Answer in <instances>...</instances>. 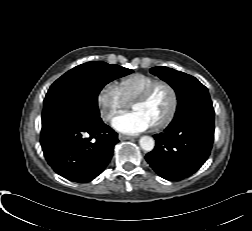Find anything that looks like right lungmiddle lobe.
I'll list each match as a JSON object with an SVG mask.
<instances>
[{
    "mask_svg": "<svg viewBox=\"0 0 252 231\" xmlns=\"http://www.w3.org/2000/svg\"><path fill=\"white\" fill-rule=\"evenodd\" d=\"M131 69L102 61L76 66L57 79L46 94L42 123L60 114L98 118L97 98L112 80L128 75Z\"/></svg>",
    "mask_w": 252,
    "mask_h": 231,
    "instance_id": "obj_1",
    "label": "right lung middle lobe"
}]
</instances>
